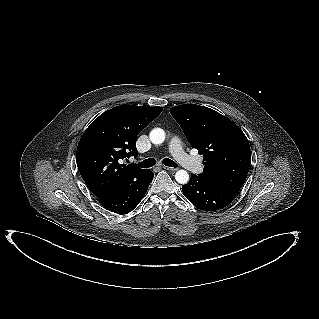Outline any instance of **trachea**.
Here are the masks:
<instances>
[{
	"instance_id": "obj_1",
	"label": "trachea",
	"mask_w": 319,
	"mask_h": 319,
	"mask_svg": "<svg viewBox=\"0 0 319 319\" xmlns=\"http://www.w3.org/2000/svg\"><path fill=\"white\" fill-rule=\"evenodd\" d=\"M156 164V160L154 158H149V159H146L144 161H142L141 163H139V167H142V168H149V167H152ZM163 164L165 166H169V167H176V164L173 160H170L168 158H165L163 159Z\"/></svg>"
}]
</instances>
